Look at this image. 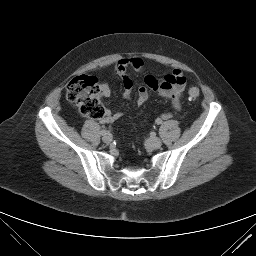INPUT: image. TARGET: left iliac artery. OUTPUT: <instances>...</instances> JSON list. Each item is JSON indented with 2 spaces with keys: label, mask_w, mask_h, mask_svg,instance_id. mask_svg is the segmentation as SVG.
Segmentation results:
<instances>
[{
  "label": "left iliac artery",
  "mask_w": 256,
  "mask_h": 256,
  "mask_svg": "<svg viewBox=\"0 0 256 256\" xmlns=\"http://www.w3.org/2000/svg\"><path fill=\"white\" fill-rule=\"evenodd\" d=\"M155 122H156V124H158V125H159V124H161V123H162V120L158 118V119H156V121H155Z\"/></svg>",
  "instance_id": "1"
}]
</instances>
